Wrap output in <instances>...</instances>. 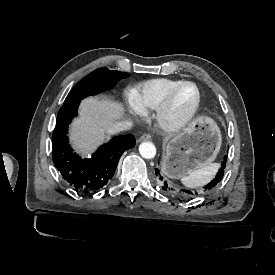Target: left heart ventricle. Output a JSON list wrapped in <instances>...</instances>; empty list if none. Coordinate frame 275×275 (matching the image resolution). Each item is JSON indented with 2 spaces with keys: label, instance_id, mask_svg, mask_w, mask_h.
<instances>
[{
  "label": "left heart ventricle",
  "instance_id": "obj_1",
  "mask_svg": "<svg viewBox=\"0 0 275 275\" xmlns=\"http://www.w3.org/2000/svg\"><path fill=\"white\" fill-rule=\"evenodd\" d=\"M196 91L192 85L181 86L174 99L170 118H179L186 113L194 104Z\"/></svg>",
  "mask_w": 275,
  "mask_h": 275
}]
</instances>
